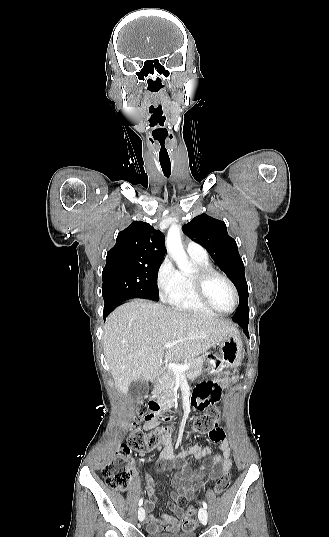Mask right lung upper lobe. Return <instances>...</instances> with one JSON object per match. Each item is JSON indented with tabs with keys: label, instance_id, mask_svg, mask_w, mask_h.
<instances>
[{
	"label": "right lung upper lobe",
	"instance_id": "right-lung-upper-lobe-1",
	"mask_svg": "<svg viewBox=\"0 0 329 537\" xmlns=\"http://www.w3.org/2000/svg\"><path fill=\"white\" fill-rule=\"evenodd\" d=\"M164 255V234L148 223L134 221L119 232L115 246L107 253L106 266L149 264L162 261Z\"/></svg>",
	"mask_w": 329,
	"mask_h": 537
}]
</instances>
